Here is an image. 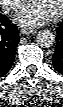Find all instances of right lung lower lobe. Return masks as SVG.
<instances>
[{
	"label": "right lung lower lobe",
	"instance_id": "right-lung-lower-lobe-1",
	"mask_svg": "<svg viewBox=\"0 0 63 107\" xmlns=\"http://www.w3.org/2000/svg\"><path fill=\"white\" fill-rule=\"evenodd\" d=\"M19 43V32L16 25L0 14V77L4 76L11 68Z\"/></svg>",
	"mask_w": 63,
	"mask_h": 107
}]
</instances>
